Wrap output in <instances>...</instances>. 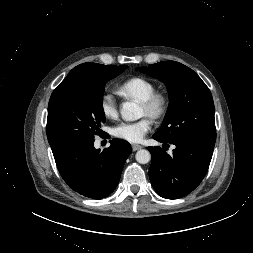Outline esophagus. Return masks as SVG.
Wrapping results in <instances>:
<instances>
[{
  "label": "esophagus",
  "instance_id": "34e87169",
  "mask_svg": "<svg viewBox=\"0 0 253 253\" xmlns=\"http://www.w3.org/2000/svg\"><path fill=\"white\" fill-rule=\"evenodd\" d=\"M141 148H142L141 145H138V144H133V145H132V150H133V151H137V150H139V149H141Z\"/></svg>",
  "mask_w": 253,
  "mask_h": 253
}]
</instances>
